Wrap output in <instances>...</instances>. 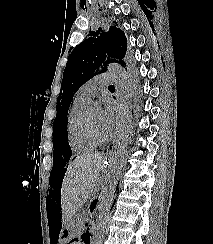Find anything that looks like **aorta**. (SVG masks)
Returning a JSON list of instances; mask_svg holds the SVG:
<instances>
[{"label":"aorta","instance_id":"obj_1","mask_svg":"<svg viewBox=\"0 0 213 244\" xmlns=\"http://www.w3.org/2000/svg\"><path fill=\"white\" fill-rule=\"evenodd\" d=\"M115 77L116 95L119 102L115 138L109 159V170L105 177L96 206V224L92 244H103L106 233V220L113 203L118 181L121 178L130 136L132 134V85L124 69L117 63L108 65Z\"/></svg>","mask_w":213,"mask_h":244}]
</instances>
